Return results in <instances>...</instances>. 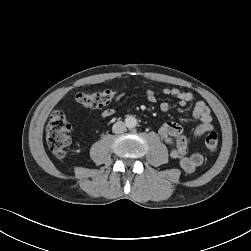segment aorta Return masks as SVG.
<instances>
[{"mask_svg": "<svg viewBox=\"0 0 251 251\" xmlns=\"http://www.w3.org/2000/svg\"><path fill=\"white\" fill-rule=\"evenodd\" d=\"M125 125L128 128H134L137 125V119L134 116H128L125 119Z\"/></svg>", "mask_w": 251, "mask_h": 251, "instance_id": "aorta-1", "label": "aorta"}]
</instances>
